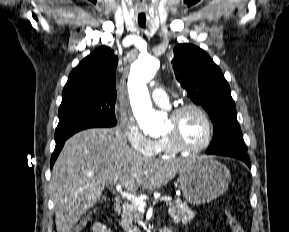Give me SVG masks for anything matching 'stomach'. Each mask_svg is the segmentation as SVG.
<instances>
[{"instance_id":"1","label":"stomach","mask_w":289,"mask_h":232,"mask_svg":"<svg viewBox=\"0 0 289 232\" xmlns=\"http://www.w3.org/2000/svg\"><path fill=\"white\" fill-rule=\"evenodd\" d=\"M230 172L225 165L210 157L188 159L179 173L180 189L191 204H206L228 188Z\"/></svg>"}]
</instances>
